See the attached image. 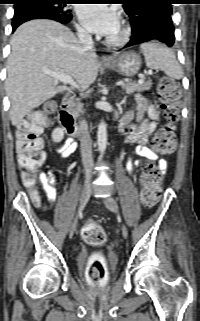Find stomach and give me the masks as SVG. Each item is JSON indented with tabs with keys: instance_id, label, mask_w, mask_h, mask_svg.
Returning <instances> with one entry per match:
<instances>
[{
	"instance_id": "stomach-1",
	"label": "stomach",
	"mask_w": 200,
	"mask_h": 321,
	"mask_svg": "<svg viewBox=\"0 0 200 321\" xmlns=\"http://www.w3.org/2000/svg\"><path fill=\"white\" fill-rule=\"evenodd\" d=\"M141 57L134 51H127L116 55L109 63H105V67L112 69L120 75L133 77L141 68Z\"/></svg>"
}]
</instances>
